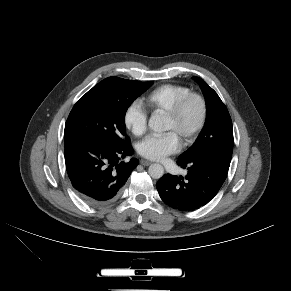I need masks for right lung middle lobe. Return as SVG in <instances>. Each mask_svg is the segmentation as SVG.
Masks as SVG:
<instances>
[{
  "label": "right lung middle lobe",
  "instance_id": "obj_1",
  "mask_svg": "<svg viewBox=\"0 0 291 291\" xmlns=\"http://www.w3.org/2000/svg\"><path fill=\"white\" fill-rule=\"evenodd\" d=\"M152 84L118 77L99 82L71 110L65 124L64 143L76 139L125 142L126 111Z\"/></svg>",
  "mask_w": 291,
  "mask_h": 291
}]
</instances>
